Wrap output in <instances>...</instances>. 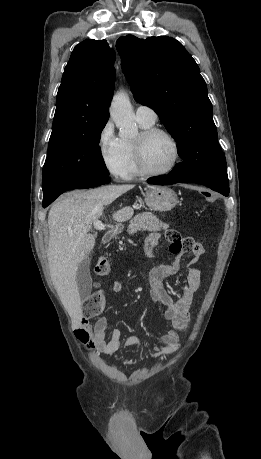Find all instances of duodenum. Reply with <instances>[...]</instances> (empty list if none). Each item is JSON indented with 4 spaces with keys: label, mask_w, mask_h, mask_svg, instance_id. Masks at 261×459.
Returning a JSON list of instances; mask_svg holds the SVG:
<instances>
[{
    "label": "duodenum",
    "mask_w": 261,
    "mask_h": 459,
    "mask_svg": "<svg viewBox=\"0 0 261 459\" xmlns=\"http://www.w3.org/2000/svg\"><path fill=\"white\" fill-rule=\"evenodd\" d=\"M118 234V228H113V229H110L108 230L104 236H103V241L105 243H108L110 242L112 239H114L116 237V235Z\"/></svg>",
    "instance_id": "duodenum-1"
}]
</instances>
